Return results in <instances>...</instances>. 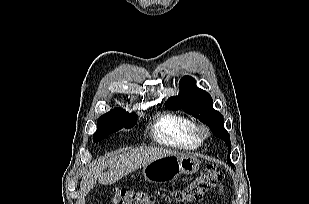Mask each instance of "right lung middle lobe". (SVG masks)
Instances as JSON below:
<instances>
[{"label":"right lung middle lobe","instance_id":"right-lung-middle-lobe-1","mask_svg":"<svg viewBox=\"0 0 309 204\" xmlns=\"http://www.w3.org/2000/svg\"><path fill=\"white\" fill-rule=\"evenodd\" d=\"M136 121L135 114H128L121 108L111 110L98 119L97 131L93 135L94 142L101 141L122 128L130 129L136 124Z\"/></svg>","mask_w":309,"mask_h":204}]
</instances>
